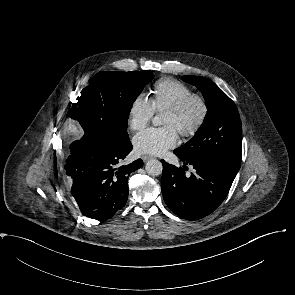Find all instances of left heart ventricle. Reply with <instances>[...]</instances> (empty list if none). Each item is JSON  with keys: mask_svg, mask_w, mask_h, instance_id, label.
<instances>
[{"mask_svg": "<svg viewBox=\"0 0 295 295\" xmlns=\"http://www.w3.org/2000/svg\"><path fill=\"white\" fill-rule=\"evenodd\" d=\"M198 112V106L194 105L183 118H179L172 114L165 113L163 115L162 124L166 127H172L178 131L181 127H185L192 124L195 121Z\"/></svg>", "mask_w": 295, "mask_h": 295, "instance_id": "b2bd125f", "label": "left heart ventricle"}]
</instances>
